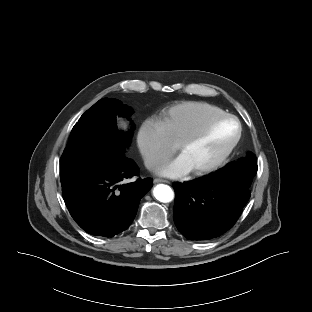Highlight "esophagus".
Segmentation results:
<instances>
[{"mask_svg": "<svg viewBox=\"0 0 312 312\" xmlns=\"http://www.w3.org/2000/svg\"><path fill=\"white\" fill-rule=\"evenodd\" d=\"M154 183H167V184H169L170 182L168 180H165V179L156 178V179H154Z\"/></svg>", "mask_w": 312, "mask_h": 312, "instance_id": "obj_1", "label": "esophagus"}]
</instances>
